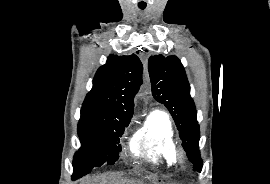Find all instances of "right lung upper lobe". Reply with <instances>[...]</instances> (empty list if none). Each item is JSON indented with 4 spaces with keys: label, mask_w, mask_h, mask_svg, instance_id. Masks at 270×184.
Returning <instances> with one entry per match:
<instances>
[{
    "label": "right lung upper lobe",
    "mask_w": 270,
    "mask_h": 184,
    "mask_svg": "<svg viewBox=\"0 0 270 184\" xmlns=\"http://www.w3.org/2000/svg\"><path fill=\"white\" fill-rule=\"evenodd\" d=\"M142 71L143 66L135 54L110 55L107 63L97 70L83 107L95 117L130 121L133 99L142 84Z\"/></svg>",
    "instance_id": "1"
}]
</instances>
